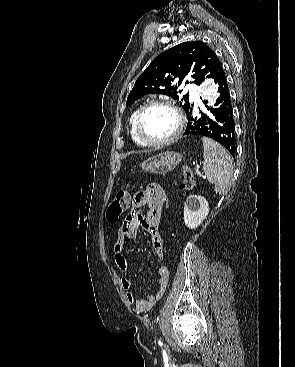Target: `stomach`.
<instances>
[{
  "label": "stomach",
  "mask_w": 295,
  "mask_h": 367,
  "mask_svg": "<svg viewBox=\"0 0 295 367\" xmlns=\"http://www.w3.org/2000/svg\"><path fill=\"white\" fill-rule=\"evenodd\" d=\"M183 155L178 152L166 151L145 160L141 164L144 171L165 174L175 169L182 161Z\"/></svg>",
  "instance_id": "0dacf381"
}]
</instances>
